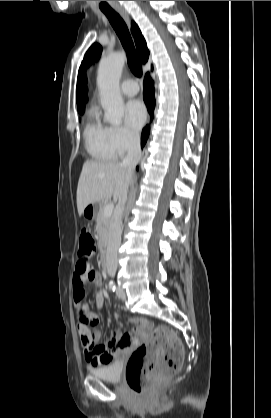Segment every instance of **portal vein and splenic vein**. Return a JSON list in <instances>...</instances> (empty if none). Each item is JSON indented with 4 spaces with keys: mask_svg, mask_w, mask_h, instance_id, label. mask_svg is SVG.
Returning <instances> with one entry per match:
<instances>
[{
    "mask_svg": "<svg viewBox=\"0 0 271 418\" xmlns=\"http://www.w3.org/2000/svg\"><path fill=\"white\" fill-rule=\"evenodd\" d=\"M113 208H114V205L112 203L106 204L104 206V210H103L104 215L105 216H110L112 214V212H113Z\"/></svg>",
    "mask_w": 271,
    "mask_h": 418,
    "instance_id": "obj_1",
    "label": "portal vein and splenic vein"
}]
</instances>
